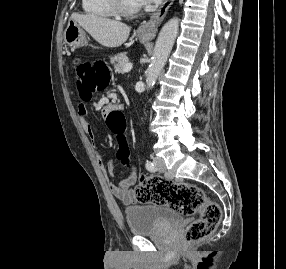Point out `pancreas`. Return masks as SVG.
I'll return each instance as SVG.
<instances>
[{
  "label": "pancreas",
  "mask_w": 286,
  "mask_h": 269,
  "mask_svg": "<svg viewBox=\"0 0 286 269\" xmlns=\"http://www.w3.org/2000/svg\"><path fill=\"white\" fill-rule=\"evenodd\" d=\"M110 62L114 65L116 73H124L123 69L128 63V58L126 56V53H120L118 55L113 56Z\"/></svg>",
  "instance_id": "pancreas-1"
}]
</instances>
